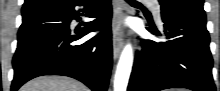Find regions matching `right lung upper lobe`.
<instances>
[{
	"label": "right lung upper lobe",
	"instance_id": "cb5924a9",
	"mask_svg": "<svg viewBox=\"0 0 220 91\" xmlns=\"http://www.w3.org/2000/svg\"><path fill=\"white\" fill-rule=\"evenodd\" d=\"M62 0H25V3L22 8V13L36 10L43 7H49L57 4ZM35 2L34 5H29V3Z\"/></svg>",
	"mask_w": 220,
	"mask_h": 91
}]
</instances>
